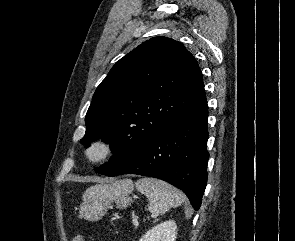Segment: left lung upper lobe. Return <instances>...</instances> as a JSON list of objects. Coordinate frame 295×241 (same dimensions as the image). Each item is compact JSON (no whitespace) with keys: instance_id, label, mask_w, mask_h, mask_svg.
Returning a JSON list of instances; mask_svg holds the SVG:
<instances>
[{"instance_id":"left-lung-upper-lobe-1","label":"left lung upper lobe","mask_w":295,"mask_h":241,"mask_svg":"<svg viewBox=\"0 0 295 241\" xmlns=\"http://www.w3.org/2000/svg\"><path fill=\"white\" fill-rule=\"evenodd\" d=\"M206 100L202 73L178 41L155 37L121 58L101 82L85 118L87 147L102 138L113 156L95 168L111 174L154 135Z\"/></svg>"}]
</instances>
